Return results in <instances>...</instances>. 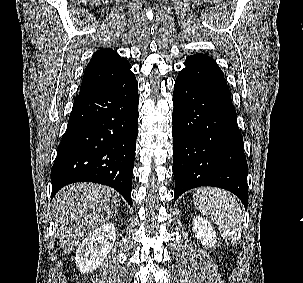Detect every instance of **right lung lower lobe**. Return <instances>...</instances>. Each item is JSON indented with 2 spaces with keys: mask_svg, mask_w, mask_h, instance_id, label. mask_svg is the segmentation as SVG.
I'll return each mask as SVG.
<instances>
[{
  "mask_svg": "<svg viewBox=\"0 0 303 283\" xmlns=\"http://www.w3.org/2000/svg\"><path fill=\"white\" fill-rule=\"evenodd\" d=\"M138 103L133 73L76 97L51 170L53 196L68 184L94 182L114 188L132 205Z\"/></svg>",
  "mask_w": 303,
  "mask_h": 283,
  "instance_id": "right-lung-lower-lobe-1",
  "label": "right lung lower lobe"
}]
</instances>
